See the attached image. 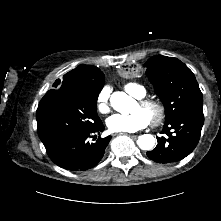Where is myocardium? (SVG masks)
<instances>
[{
	"label": "myocardium",
	"instance_id": "1",
	"mask_svg": "<svg viewBox=\"0 0 221 221\" xmlns=\"http://www.w3.org/2000/svg\"><path fill=\"white\" fill-rule=\"evenodd\" d=\"M138 104L141 107H152L155 110V115L151 119V124L153 126H158L165 116V107L164 105L159 101L155 99H149V98H143L138 101Z\"/></svg>",
	"mask_w": 221,
	"mask_h": 221
}]
</instances>
